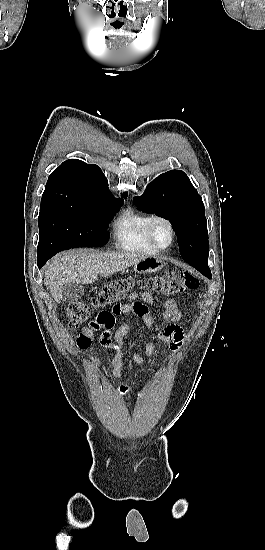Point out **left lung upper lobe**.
Returning <instances> with one entry per match:
<instances>
[{
	"label": "left lung upper lobe",
	"instance_id": "5c2ea615",
	"mask_svg": "<svg viewBox=\"0 0 265 550\" xmlns=\"http://www.w3.org/2000/svg\"><path fill=\"white\" fill-rule=\"evenodd\" d=\"M137 207L155 213L172 224L184 261L208 259V232L202 198L183 171L171 170L152 181Z\"/></svg>",
	"mask_w": 265,
	"mask_h": 550
}]
</instances>
